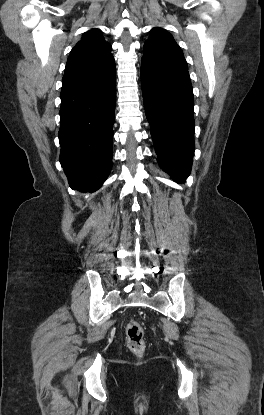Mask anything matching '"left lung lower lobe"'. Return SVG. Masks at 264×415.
Here are the masks:
<instances>
[{
    "mask_svg": "<svg viewBox=\"0 0 264 415\" xmlns=\"http://www.w3.org/2000/svg\"><path fill=\"white\" fill-rule=\"evenodd\" d=\"M141 84L158 163L177 182H184L194 154V98L188 69L142 57Z\"/></svg>",
    "mask_w": 264,
    "mask_h": 415,
    "instance_id": "obj_1",
    "label": "left lung lower lobe"
}]
</instances>
